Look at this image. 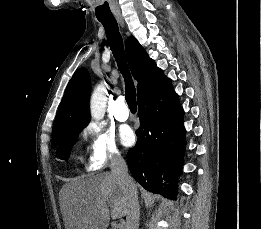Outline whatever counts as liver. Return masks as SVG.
<instances>
[{"instance_id":"obj_1","label":"liver","mask_w":261,"mask_h":229,"mask_svg":"<svg viewBox=\"0 0 261 229\" xmlns=\"http://www.w3.org/2000/svg\"><path fill=\"white\" fill-rule=\"evenodd\" d=\"M66 229H107L112 219L127 215L128 197L112 173L81 175L66 187ZM105 201H111V209Z\"/></svg>"}]
</instances>
